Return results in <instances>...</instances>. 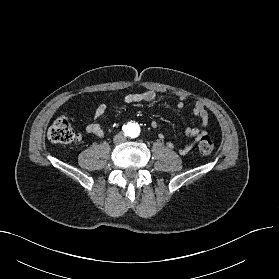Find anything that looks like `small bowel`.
I'll list each match as a JSON object with an SVG mask.
<instances>
[{
    "label": "small bowel",
    "instance_id": "obj_1",
    "mask_svg": "<svg viewBox=\"0 0 279 279\" xmlns=\"http://www.w3.org/2000/svg\"><path fill=\"white\" fill-rule=\"evenodd\" d=\"M157 98V94L154 91L147 90L143 92H137V93H128L123 97V103L125 104H134V103H140V102H152ZM187 100L186 96H181L179 98V101L176 105V108L178 110L182 109L185 105V102ZM106 111V105L100 104L95 110L94 117L95 120L91 123H89L86 126L87 133L98 137L103 138L105 133L102 129L101 125L98 123V119L105 113ZM193 114L200 120L201 122V128L197 127H188L185 131L186 135L190 138H194V141L197 142L199 139L206 135V127L209 122V114L207 110L205 109L204 105L196 101L193 106ZM153 126H155V123H152ZM168 146L173 148L175 145L172 142L168 143ZM192 148V145H186L177 148V151L179 154H186L188 151H190Z\"/></svg>",
    "mask_w": 279,
    "mask_h": 279
}]
</instances>
